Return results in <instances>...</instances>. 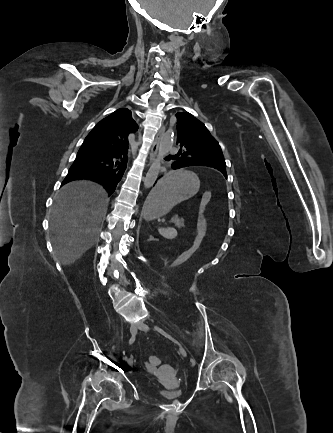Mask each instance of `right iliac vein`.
<instances>
[{
    "label": "right iliac vein",
    "instance_id": "right-iliac-vein-1",
    "mask_svg": "<svg viewBox=\"0 0 333 433\" xmlns=\"http://www.w3.org/2000/svg\"><path fill=\"white\" fill-rule=\"evenodd\" d=\"M130 332H131L132 335H135V334L137 333V329H136V326H135V325H131V326H130ZM128 363H129V365H132V364H133V361L130 359V360L128 361Z\"/></svg>",
    "mask_w": 333,
    "mask_h": 433
}]
</instances>
